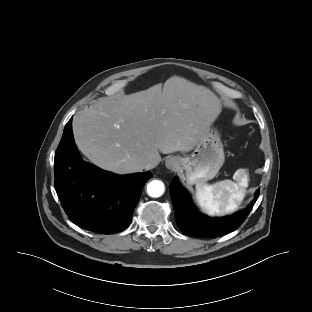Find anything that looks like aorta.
<instances>
[{
	"mask_svg": "<svg viewBox=\"0 0 312 312\" xmlns=\"http://www.w3.org/2000/svg\"><path fill=\"white\" fill-rule=\"evenodd\" d=\"M165 191V185L160 180H152L147 185V194L150 197L157 198L163 195Z\"/></svg>",
	"mask_w": 312,
	"mask_h": 312,
	"instance_id": "762f6f07",
	"label": "aorta"
}]
</instances>
